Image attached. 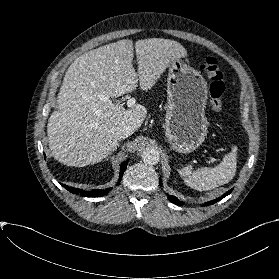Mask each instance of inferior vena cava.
Returning <instances> with one entry per match:
<instances>
[{
    "mask_svg": "<svg viewBox=\"0 0 279 279\" xmlns=\"http://www.w3.org/2000/svg\"><path fill=\"white\" fill-rule=\"evenodd\" d=\"M134 131L135 130L132 126H125L120 133V138H127L132 135Z\"/></svg>",
    "mask_w": 279,
    "mask_h": 279,
    "instance_id": "inferior-vena-cava-1",
    "label": "inferior vena cava"
}]
</instances>
